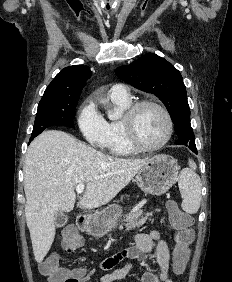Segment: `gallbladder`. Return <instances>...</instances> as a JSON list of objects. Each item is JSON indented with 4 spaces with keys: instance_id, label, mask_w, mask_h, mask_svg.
<instances>
[{
    "instance_id": "bac80fb5",
    "label": "gallbladder",
    "mask_w": 232,
    "mask_h": 282,
    "mask_svg": "<svg viewBox=\"0 0 232 282\" xmlns=\"http://www.w3.org/2000/svg\"><path fill=\"white\" fill-rule=\"evenodd\" d=\"M68 222V216L63 211H58L55 215V225L57 227H62Z\"/></svg>"
}]
</instances>
